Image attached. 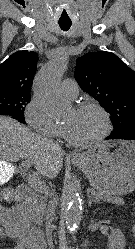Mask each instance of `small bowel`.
<instances>
[{
  "label": "small bowel",
  "mask_w": 135,
  "mask_h": 249,
  "mask_svg": "<svg viewBox=\"0 0 135 249\" xmlns=\"http://www.w3.org/2000/svg\"><path fill=\"white\" fill-rule=\"evenodd\" d=\"M0 238L14 240L6 249H26L24 226L15 207L0 204Z\"/></svg>",
  "instance_id": "small-bowel-1"
}]
</instances>
